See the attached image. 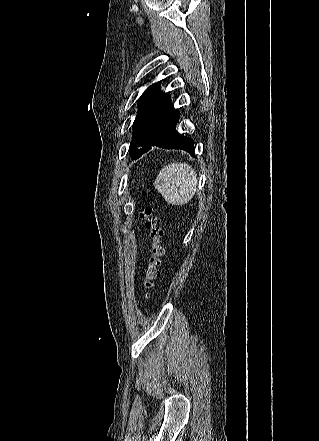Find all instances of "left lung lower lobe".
<instances>
[{
	"label": "left lung lower lobe",
	"mask_w": 319,
	"mask_h": 441,
	"mask_svg": "<svg viewBox=\"0 0 319 441\" xmlns=\"http://www.w3.org/2000/svg\"><path fill=\"white\" fill-rule=\"evenodd\" d=\"M179 116L180 113L177 111L160 127L151 139L145 152L149 151L151 146H158L165 149H181L194 155V141L176 131L175 126L179 120Z\"/></svg>",
	"instance_id": "obj_1"
}]
</instances>
